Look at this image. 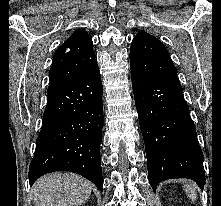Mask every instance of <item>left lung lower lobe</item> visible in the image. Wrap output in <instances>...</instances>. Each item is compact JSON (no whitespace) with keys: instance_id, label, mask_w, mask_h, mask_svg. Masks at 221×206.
<instances>
[{"instance_id":"obj_1","label":"left lung lower lobe","mask_w":221,"mask_h":206,"mask_svg":"<svg viewBox=\"0 0 221 206\" xmlns=\"http://www.w3.org/2000/svg\"><path fill=\"white\" fill-rule=\"evenodd\" d=\"M131 77L152 188L174 178L193 179L203 188L204 158L181 85Z\"/></svg>"}]
</instances>
